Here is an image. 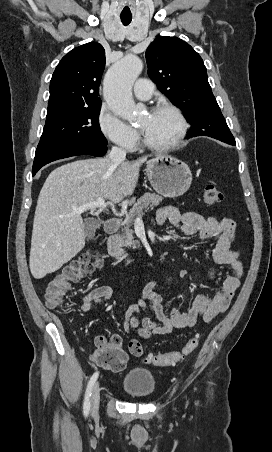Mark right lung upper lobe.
Instances as JSON below:
<instances>
[{
    "instance_id": "cb5924a9",
    "label": "right lung upper lobe",
    "mask_w": 272,
    "mask_h": 452,
    "mask_svg": "<svg viewBox=\"0 0 272 452\" xmlns=\"http://www.w3.org/2000/svg\"><path fill=\"white\" fill-rule=\"evenodd\" d=\"M105 67V50L90 42L74 48L57 65L50 81L47 114L101 106L99 85Z\"/></svg>"
}]
</instances>
